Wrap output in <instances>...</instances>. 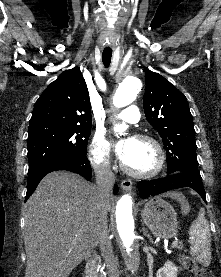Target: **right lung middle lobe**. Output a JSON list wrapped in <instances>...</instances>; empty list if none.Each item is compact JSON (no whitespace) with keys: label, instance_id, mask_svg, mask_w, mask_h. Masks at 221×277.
I'll return each mask as SVG.
<instances>
[{"label":"right lung middle lobe","instance_id":"obj_1","mask_svg":"<svg viewBox=\"0 0 221 277\" xmlns=\"http://www.w3.org/2000/svg\"><path fill=\"white\" fill-rule=\"evenodd\" d=\"M91 125L45 124L29 126L28 174L41 166L73 156H86Z\"/></svg>","mask_w":221,"mask_h":277}]
</instances>
